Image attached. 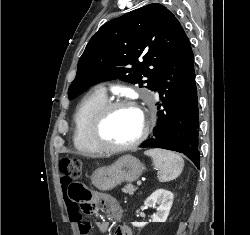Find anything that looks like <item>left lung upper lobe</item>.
<instances>
[{
	"label": "left lung upper lobe",
	"mask_w": 250,
	"mask_h": 235,
	"mask_svg": "<svg viewBox=\"0 0 250 235\" xmlns=\"http://www.w3.org/2000/svg\"><path fill=\"white\" fill-rule=\"evenodd\" d=\"M181 30L174 14L158 3L108 21L90 39L79 59L69 99L112 79L153 90Z\"/></svg>",
	"instance_id": "left-lung-upper-lobe-1"
}]
</instances>
